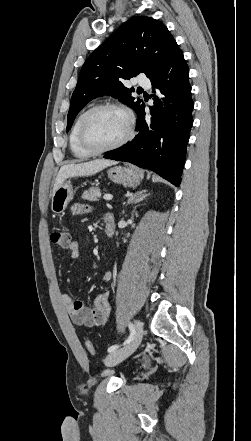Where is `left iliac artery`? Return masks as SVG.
<instances>
[{
  "label": "left iliac artery",
  "mask_w": 251,
  "mask_h": 441,
  "mask_svg": "<svg viewBox=\"0 0 251 441\" xmlns=\"http://www.w3.org/2000/svg\"><path fill=\"white\" fill-rule=\"evenodd\" d=\"M128 326H129V329H130V335L126 339V341L123 343V345H126V344L130 343L133 340V337H134V334H135V328H134L133 324L129 323ZM119 346L120 345H112V346H110L108 348V352L111 353V352L117 350L119 348Z\"/></svg>",
  "instance_id": "left-iliac-artery-1"
}]
</instances>
